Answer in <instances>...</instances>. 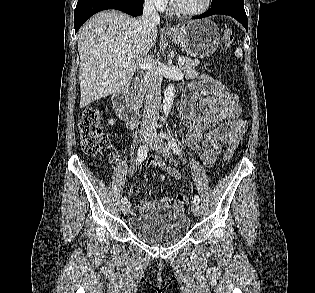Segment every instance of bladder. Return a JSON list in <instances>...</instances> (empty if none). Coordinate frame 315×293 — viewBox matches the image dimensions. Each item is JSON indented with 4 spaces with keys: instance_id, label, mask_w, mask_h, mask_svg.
I'll list each match as a JSON object with an SVG mask.
<instances>
[{
    "instance_id": "obj_1",
    "label": "bladder",
    "mask_w": 315,
    "mask_h": 293,
    "mask_svg": "<svg viewBox=\"0 0 315 293\" xmlns=\"http://www.w3.org/2000/svg\"><path fill=\"white\" fill-rule=\"evenodd\" d=\"M130 231L154 246H168L183 239L190 230L189 217L178 207L146 210L129 219Z\"/></svg>"
}]
</instances>
